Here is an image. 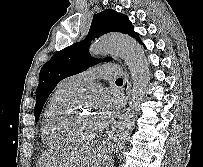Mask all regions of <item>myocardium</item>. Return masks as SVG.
Instances as JSON below:
<instances>
[{"label": "myocardium", "instance_id": "myocardium-1", "mask_svg": "<svg viewBox=\"0 0 203 167\" xmlns=\"http://www.w3.org/2000/svg\"><path fill=\"white\" fill-rule=\"evenodd\" d=\"M86 95V92L77 90L72 94L66 104L56 113L54 116L51 127L53 131L61 136L62 138L68 140L69 142H88L97 138L102 130H98L89 135H79L73 132L70 128V119L75 108V105L80 97Z\"/></svg>", "mask_w": 203, "mask_h": 167}]
</instances>
